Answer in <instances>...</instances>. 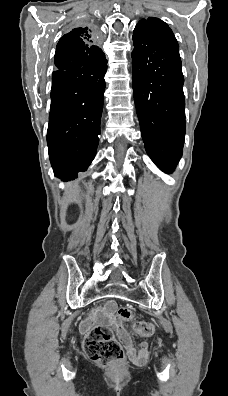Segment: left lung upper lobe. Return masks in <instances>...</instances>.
I'll return each instance as SVG.
<instances>
[{"label": "left lung upper lobe", "mask_w": 228, "mask_h": 396, "mask_svg": "<svg viewBox=\"0 0 228 396\" xmlns=\"http://www.w3.org/2000/svg\"><path fill=\"white\" fill-rule=\"evenodd\" d=\"M153 33H160L164 37L176 41V38L172 30L168 25L162 20L149 17L148 19H142L135 27L133 36L134 37H144L152 35ZM177 42V41H176Z\"/></svg>", "instance_id": "obj_1"}]
</instances>
